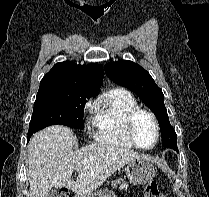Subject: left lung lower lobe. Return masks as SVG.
<instances>
[{"instance_id": "0a47b994", "label": "left lung lower lobe", "mask_w": 209, "mask_h": 197, "mask_svg": "<svg viewBox=\"0 0 209 197\" xmlns=\"http://www.w3.org/2000/svg\"><path fill=\"white\" fill-rule=\"evenodd\" d=\"M174 150H176V151H178V148L177 147H175V148H173Z\"/></svg>"}]
</instances>
